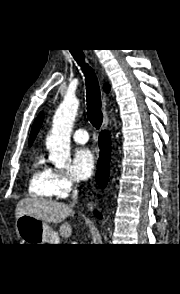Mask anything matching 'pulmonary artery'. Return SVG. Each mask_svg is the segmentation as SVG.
Returning <instances> with one entry per match:
<instances>
[{"label": "pulmonary artery", "mask_w": 180, "mask_h": 294, "mask_svg": "<svg viewBox=\"0 0 180 294\" xmlns=\"http://www.w3.org/2000/svg\"><path fill=\"white\" fill-rule=\"evenodd\" d=\"M73 139L75 142L83 144L88 141L89 136L84 129H78L73 133Z\"/></svg>", "instance_id": "e3ab8cb5"}]
</instances>
